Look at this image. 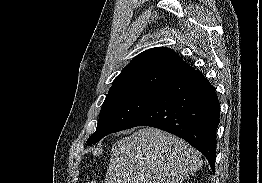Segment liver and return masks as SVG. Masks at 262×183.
<instances>
[{"label": "liver", "instance_id": "1", "mask_svg": "<svg viewBox=\"0 0 262 183\" xmlns=\"http://www.w3.org/2000/svg\"><path fill=\"white\" fill-rule=\"evenodd\" d=\"M201 166V154L187 142L146 127L115 142L105 183H182Z\"/></svg>", "mask_w": 262, "mask_h": 183}]
</instances>
